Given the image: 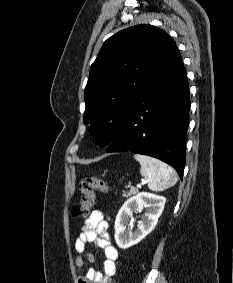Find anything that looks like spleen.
<instances>
[{
  "instance_id": "1",
  "label": "spleen",
  "mask_w": 233,
  "mask_h": 283,
  "mask_svg": "<svg viewBox=\"0 0 233 283\" xmlns=\"http://www.w3.org/2000/svg\"><path fill=\"white\" fill-rule=\"evenodd\" d=\"M134 158L140 163V173L148 179L150 190L163 191L176 184V174L166 163L142 154H135Z\"/></svg>"
}]
</instances>
